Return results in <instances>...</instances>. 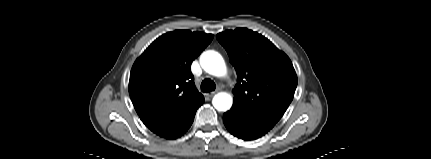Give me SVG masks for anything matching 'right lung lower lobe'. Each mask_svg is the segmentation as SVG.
Wrapping results in <instances>:
<instances>
[{
    "instance_id": "98d812e1",
    "label": "right lung lower lobe",
    "mask_w": 431,
    "mask_h": 159,
    "mask_svg": "<svg viewBox=\"0 0 431 159\" xmlns=\"http://www.w3.org/2000/svg\"><path fill=\"white\" fill-rule=\"evenodd\" d=\"M203 104V103H202ZM201 104V105H202ZM199 107V106H198ZM198 107L189 115V117L186 119V121L183 123V125L181 126L180 129H178L173 135H171L170 137H168L167 139H176L178 137H180L181 135H183L188 129L189 127L192 125L193 120H194V116L195 113L198 109Z\"/></svg>"
}]
</instances>
